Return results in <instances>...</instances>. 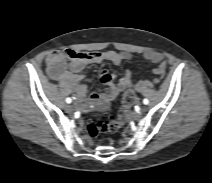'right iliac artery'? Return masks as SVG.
<instances>
[{"instance_id": "right-iliac-artery-1", "label": "right iliac artery", "mask_w": 212, "mask_h": 183, "mask_svg": "<svg viewBox=\"0 0 212 183\" xmlns=\"http://www.w3.org/2000/svg\"><path fill=\"white\" fill-rule=\"evenodd\" d=\"M71 101H72L71 98H67V99H66V102H67V103H71Z\"/></svg>"}]
</instances>
